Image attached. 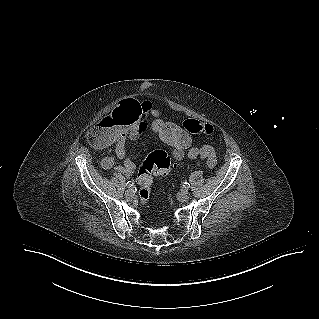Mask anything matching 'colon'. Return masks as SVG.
Segmentation results:
<instances>
[{
	"mask_svg": "<svg viewBox=\"0 0 319 319\" xmlns=\"http://www.w3.org/2000/svg\"><path fill=\"white\" fill-rule=\"evenodd\" d=\"M97 124V123H96ZM95 124V125H96ZM180 124L174 123L167 116H156L149 123L150 134L162 144L173 149L187 150L194 143V135L202 137L216 136L218 129L206 120H198L194 117H186ZM173 165L170 156L164 150L151 152L139 167L137 184L139 185V197L142 202H147L150 196L152 174L168 176Z\"/></svg>",
	"mask_w": 319,
	"mask_h": 319,
	"instance_id": "obj_1",
	"label": "colon"
}]
</instances>
